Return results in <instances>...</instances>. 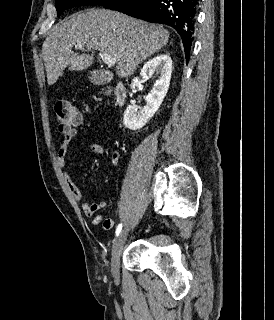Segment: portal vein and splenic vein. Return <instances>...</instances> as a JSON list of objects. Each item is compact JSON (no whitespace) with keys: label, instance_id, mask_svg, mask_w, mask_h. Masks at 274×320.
Segmentation results:
<instances>
[{"label":"portal vein and splenic vein","instance_id":"1","mask_svg":"<svg viewBox=\"0 0 274 320\" xmlns=\"http://www.w3.org/2000/svg\"><path fill=\"white\" fill-rule=\"evenodd\" d=\"M75 48H81V46H75ZM99 56L102 62H104V64H107L108 68H111V66H115L116 58H114V56H109V54H103V52H100Z\"/></svg>","mask_w":274,"mask_h":320}]
</instances>
